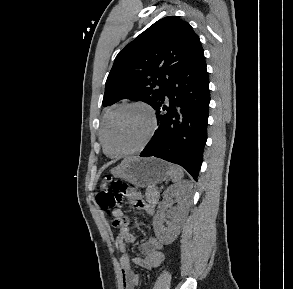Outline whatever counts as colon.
<instances>
[{"mask_svg":"<svg viewBox=\"0 0 293 289\" xmlns=\"http://www.w3.org/2000/svg\"><path fill=\"white\" fill-rule=\"evenodd\" d=\"M129 191H131V188L127 184L115 181L107 176L103 179L102 189L96 194V200L101 210L111 213ZM122 223L123 221L120 220H114L113 222L115 226H120Z\"/></svg>","mask_w":293,"mask_h":289,"instance_id":"1","label":"colon"}]
</instances>
